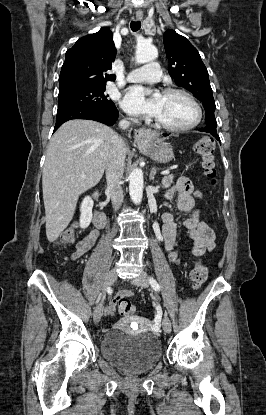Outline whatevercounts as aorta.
Here are the masks:
<instances>
[{
    "label": "aorta",
    "instance_id": "aorta-1",
    "mask_svg": "<svg viewBox=\"0 0 266 415\" xmlns=\"http://www.w3.org/2000/svg\"><path fill=\"white\" fill-rule=\"evenodd\" d=\"M157 49L148 43H142L136 49V62L147 63L156 59ZM143 172L139 168H135L129 175V192L132 201L135 204H140L143 196Z\"/></svg>",
    "mask_w": 266,
    "mask_h": 415
}]
</instances>
